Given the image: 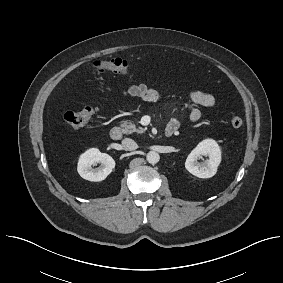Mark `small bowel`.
<instances>
[{
	"instance_id": "obj_1",
	"label": "small bowel",
	"mask_w": 283,
	"mask_h": 283,
	"mask_svg": "<svg viewBox=\"0 0 283 283\" xmlns=\"http://www.w3.org/2000/svg\"><path fill=\"white\" fill-rule=\"evenodd\" d=\"M122 96H135L143 99L146 102H155L159 98V93L156 89L150 87L146 83L133 85L122 92ZM190 101L185 105L188 111V118L191 122H197L201 118L200 107L211 108L215 105L214 97L202 91H190ZM168 125H174L176 129L180 127V119L175 116L171 118Z\"/></svg>"
}]
</instances>
